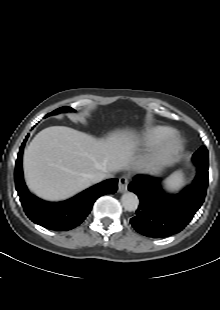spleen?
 Wrapping results in <instances>:
<instances>
[{
  "instance_id": "3e777b00",
  "label": "spleen",
  "mask_w": 220,
  "mask_h": 310,
  "mask_svg": "<svg viewBox=\"0 0 220 310\" xmlns=\"http://www.w3.org/2000/svg\"><path fill=\"white\" fill-rule=\"evenodd\" d=\"M185 183L184 176L181 172L174 174L167 182L166 189L169 191H178Z\"/></svg>"
}]
</instances>
